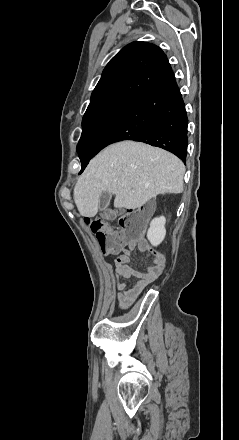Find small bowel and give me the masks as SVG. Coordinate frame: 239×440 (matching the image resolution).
<instances>
[{
	"instance_id": "1",
	"label": "small bowel",
	"mask_w": 239,
	"mask_h": 440,
	"mask_svg": "<svg viewBox=\"0 0 239 440\" xmlns=\"http://www.w3.org/2000/svg\"><path fill=\"white\" fill-rule=\"evenodd\" d=\"M138 249L149 261V265L138 271L130 265L131 254ZM117 288L120 291L118 299L123 306L132 303L150 283L155 281L165 267L164 257L146 243H132L128 248L119 252L116 260ZM136 278L134 282L130 279Z\"/></svg>"
}]
</instances>
